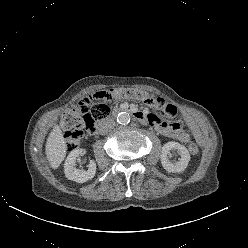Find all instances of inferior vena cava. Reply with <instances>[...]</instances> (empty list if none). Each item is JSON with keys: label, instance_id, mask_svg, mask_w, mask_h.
<instances>
[{"label": "inferior vena cava", "instance_id": "obj_1", "mask_svg": "<svg viewBox=\"0 0 248 248\" xmlns=\"http://www.w3.org/2000/svg\"><path fill=\"white\" fill-rule=\"evenodd\" d=\"M115 126V121L113 119L104 120L99 127L101 134H106Z\"/></svg>", "mask_w": 248, "mask_h": 248}]
</instances>
